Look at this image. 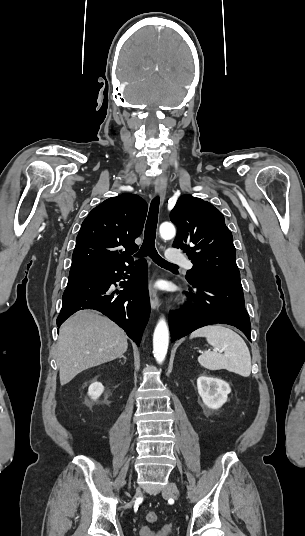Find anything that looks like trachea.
Here are the masks:
<instances>
[{
  "label": "trachea",
  "mask_w": 305,
  "mask_h": 536,
  "mask_svg": "<svg viewBox=\"0 0 305 536\" xmlns=\"http://www.w3.org/2000/svg\"><path fill=\"white\" fill-rule=\"evenodd\" d=\"M159 204H160V198L159 196H156L153 198L149 213L145 225V234H144V240L141 245L140 250L134 255L139 258H144L145 256H149L151 260H153L157 265L161 266L162 268H165L166 270H178V265H174L173 263H169V261L164 260L162 258L156 248H155V238H156V227L158 223V211H159Z\"/></svg>",
  "instance_id": "3493384b"
}]
</instances>
